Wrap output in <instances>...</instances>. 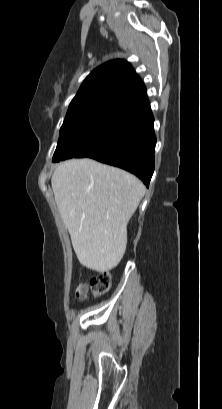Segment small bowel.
I'll return each instance as SVG.
<instances>
[{
    "label": "small bowel",
    "mask_w": 222,
    "mask_h": 409,
    "mask_svg": "<svg viewBox=\"0 0 222 409\" xmlns=\"http://www.w3.org/2000/svg\"><path fill=\"white\" fill-rule=\"evenodd\" d=\"M88 290L87 284L80 283L76 289L77 294L86 293Z\"/></svg>",
    "instance_id": "c3829d8e"
}]
</instances>
